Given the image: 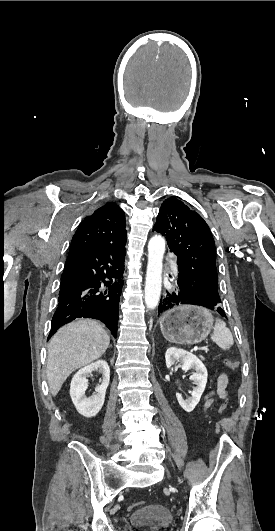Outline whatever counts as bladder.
I'll list each match as a JSON object with an SVG mask.
<instances>
[{
    "label": "bladder",
    "mask_w": 275,
    "mask_h": 531,
    "mask_svg": "<svg viewBox=\"0 0 275 531\" xmlns=\"http://www.w3.org/2000/svg\"><path fill=\"white\" fill-rule=\"evenodd\" d=\"M130 522L135 531H158V527L173 524L174 517L165 504L153 503L134 510Z\"/></svg>",
    "instance_id": "31cf9c89"
}]
</instances>
